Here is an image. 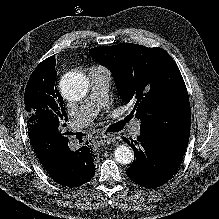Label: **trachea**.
I'll return each mask as SVG.
<instances>
[{
    "label": "trachea",
    "mask_w": 219,
    "mask_h": 219,
    "mask_svg": "<svg viewBox=\"0 0 219 219\" xmlns=\"http://www.w3.org/2000/svg\"><path fill=\"white\" fill-rule=\"evenodd\" d=\"M124 124H125V121L120 122V123H118V126H117L118 128H116V129H115V128H114V129L112 128L110 131H111V132H117V131H119V130L122 129V127H123Z\"/></svg>",
    "instance_id": "1"
}]
</instances>
